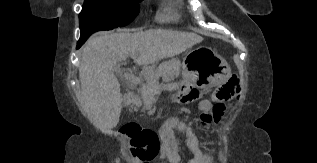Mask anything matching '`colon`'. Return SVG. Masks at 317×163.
<instances>
[{
  "label": "colon",
  "mask_w": 317,
  "mask_h": 163,
  "mask_svg": "<svg viewBox=\"0 0 317 163\" xmlns=\"http://www.w3.org/2000/svg\"><path fill=\"white\" fill-rule=\"evenodd\" d=\"M240 93V85L236 76H231L225 83L213 92L214 104L210 101L200 103V119L203 125H210L216 122L224 111V102L237 98ZM189 96L182 97L181 102H188ZM123 132L129 137L133 147L132 154L141 163H150L154 160L160 150V138L151 129L141 128L137 124H130L124 127Z\"/></svg>",
  "instance_id": "colon-1"
}]
</instances>
